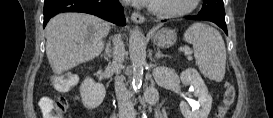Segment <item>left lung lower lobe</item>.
Masks as SVG:
<instances>
[{"instance_id":"0a47b994","label":"left lung lower lobe","mask_w":273,"mask_h":118,"mask_svg":"<svg viewBox=\"0 0 273 118\" xmlns=\"http://www.w3.org/2000/svg\"><path fill=\"white\" fill-rule=\"evenodd\" d=\"M188 18L189 19H194V20H207V21H211V22L217 24L220 28H222L224 30V32L226 34H228L227 33V27H226L225 20H222L220 18L213 17V16L202 15V14H198L196 16H188Z\"/></svg>"}]
</instances>
